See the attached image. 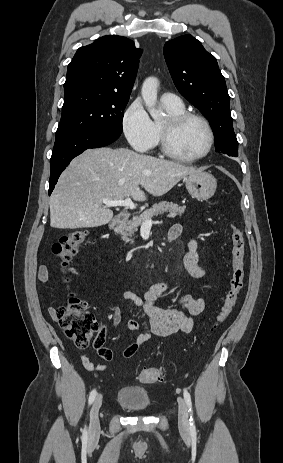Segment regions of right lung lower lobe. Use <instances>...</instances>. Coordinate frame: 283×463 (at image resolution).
Wrapping results in <instances>:
<instances>
[{
    "label": "right lung lower lobe",
    "mask_w": 283,
    "mask_h": 463,
    "mask_svg": "<svg viewBox=\"0 0 283 463\" xmlns=\"http://www.w3.org/2000/svg\"><path fill=\"white\" fill-rule=\"evenodd\" d=\"M119 136L102 131H82L56 138L50 161L49 195L53 191L60 174L74 157L88 148L109 145Z\"/></svg>",
    "instance_id": "98d812e1"
}]
</instances>
